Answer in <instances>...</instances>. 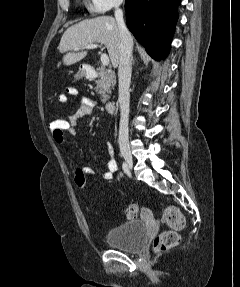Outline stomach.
I'll list each match as a JSON object with an SVG mask.
<instances>
[{
    "label": "stomach",
    "mask_w": 240,
    "mask_h": 287,
    "mask_svg": "<svg viewBox=\"0 0 240 287\" xmlns=\"http://www.w3.org/2000/svg\"><path fill=\"white\" fill-rule=\"evenodd\" d=\"M84 76H85V71H84V69L80 68L78 73L76 74V77L77 78H82Z\"/></svg>",
    "instance_id": "1"
}]
</instances>
